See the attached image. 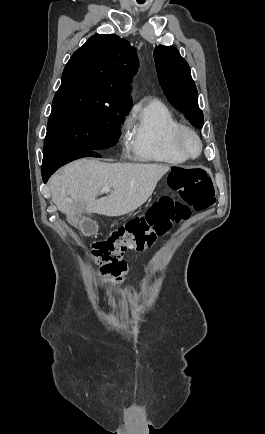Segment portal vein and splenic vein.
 Returning <instances> with one entry per match:
<instances>
[{
    "instance_id": "obj_1",
    "label": "portal vein and splenic vein",
    "mask_w": 265,
    "mask_h": 434,
    "mask_svg": "<svg viewBox=\"0 0 265 434\" xmlns=\"http://www.w3.org/2000/svg\"><path fill=\"white\" fill-rule=\"evenodd\" d=\"M102 192H111L110 188H108V186H104V188H102L101 190V194ZM69 202H73V200H69Z\"/></svg>"
}]
</instances>
